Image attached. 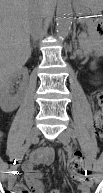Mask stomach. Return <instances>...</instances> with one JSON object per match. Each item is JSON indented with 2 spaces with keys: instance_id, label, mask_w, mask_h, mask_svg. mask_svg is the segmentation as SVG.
Masks as SVG:
<instances>
[{
  "instance_id": "stomach-1",
  "label": "stomach",
  "mask_w": 103,
  "mask_h": 193,
  "mask_svg": "<svg viewBox=\"0 0 103 193\" xmlns=\"http://www.w3.org/2000/svg\"><path fill=\"white\" fill-rule=\"evenodd\" d=\"M74 9L81 15L101 14L103 0H73Z\"/></svg>"
}]
</instances>
